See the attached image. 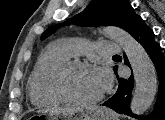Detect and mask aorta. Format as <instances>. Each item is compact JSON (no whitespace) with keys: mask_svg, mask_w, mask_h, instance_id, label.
<instances>
[{"mask_svg":"<svg viewBox=\"0 0 165 120\" xmlns=\"http://www.w3.org/2000/svg\"><path fill=\"white\" fill-rule=\"evenodd\" d=\"M103 33L117 41L129 59L135 80L130 108L140 115L151 106L157 91L154 65L144 48L123 29L111 26L104 28Z\"/></svg>","mask_w":165,"mask_h":120,"instance_id":"aorta-1","label":"aorta"}]
</instances>
